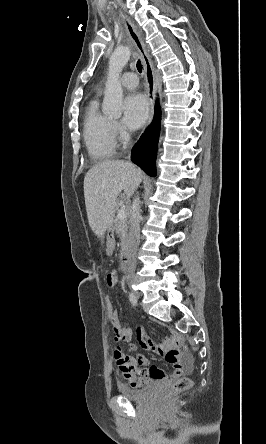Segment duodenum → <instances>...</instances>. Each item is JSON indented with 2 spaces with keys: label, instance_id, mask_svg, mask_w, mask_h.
Returning a JSON list of instances; mask_svg holds the SVG:
<instances>
[{
  "label": "duodenum",
  "instance_id": "410a0bca",
  "mask_svg": "<svg viewBox=\"0 0 266 444\" xmlns=\"http://www.w3.org/2000/svg\"><path fill=\"white\" fill-rule=\"evenodd\" d=\"M121 269H122V271L126 272V269H127L126 262L123 263Z\"/></svg>",
  "mask_w": 266,
  "mask_h": 444
}]
</instances>
